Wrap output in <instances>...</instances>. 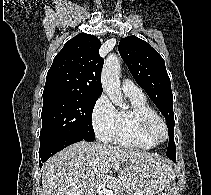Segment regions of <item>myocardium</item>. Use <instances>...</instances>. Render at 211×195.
Returning a JSON list of instances; mask_svg holds the SVG:
<instances>
[{
  "label": "myocardium",
  "mask_w": 211,
  "mask_h": 195,
  "mask_svg": "<svg viewBox=\"0 0 211 195\" xmlns=\"http://www.w3.org/2000/svg\"><path fill=\"white\" fill-rule=\"evenodd\" d=\"M156 124H160L164 130V137L161 140H156L152 134V129ZM139 128L141 135L154 145H159L168 138L167 124L164 119L157 114L141 117L139 120Z\"/></svg>",
  "instance_id": "obj_1"
}]
</instances>
